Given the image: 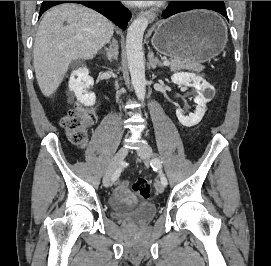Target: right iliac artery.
Listing matches in <instances>:
<instances>
[{
    "instance_id": "82829eb1",
    "label": "right iliac artery",
    "mask_w": 271,
    "mask_h": 266,
    "mask_svg": "<svg viewBox=\"0 0 271 266\" xmlns=\"http://www.w3.org/2000/svg\"><path fill=\"white\" fill-rule=\"evenodd\" d=\"M126 165H127V164H126ZM122 170H123V167H119V168L116 169V171L114 172V174H113V176H112V181H113V182L116 181V180L119 178V176H120Z\"/></svg>"
}]
</instances>
